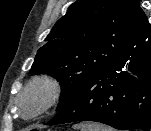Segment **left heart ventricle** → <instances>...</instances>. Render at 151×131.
<instances>
[{"label": "left heart ventricle", "mask_w": 151, "mask_h": 131, "mask_svg": "<svg viewBox=\"0 0 151 131\" xmlns=\"http://www.w3.org/2000/svg\"><path fill=\"white\" fill-rule=\"evenodd\" d=\"M38 103V97L33 95L27 98L23 104V108L26 112L31 111Z\"/></svg>", "instance_id": "obj_1"}]
</instances>
